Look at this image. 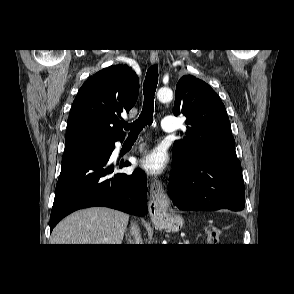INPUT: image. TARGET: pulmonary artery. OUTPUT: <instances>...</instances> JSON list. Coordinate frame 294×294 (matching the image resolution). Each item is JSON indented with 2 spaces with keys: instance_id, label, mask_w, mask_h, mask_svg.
Returning a JSON list of instances; mask_svg holds the SVG:
<instances>
[{
  "instance_id": "1",
  "label": "pulmonary artery",
  "mask_w": 294,
  "mask_h": 294,
  "mask_svg": "<svg viewBox=\"0 0 294 294\" xmlns=\"http://www.w3.org/2000/svg\"><path fill=\"white\" fill-rule=\"evenodd\" d=\"M162 128L164 131L171 132L177 129L176 117L166 116L162 119Z\"/></svg>"
}]
</instances>
